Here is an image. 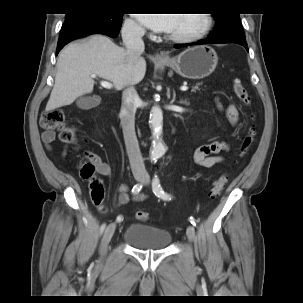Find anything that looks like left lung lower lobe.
<instances>
[{
	"label": "left lung lower lobe",
	"instance_id": "obj_1",
	"mask_svg": "<svg viewBox=\"0 0 303 303\" xmlns=\"http://www.w3.org/2000/svg\"><path fill=\"white\" fill-rule=\"evenodd\" d=\"M209 43H238L244 46L248 51V46L245 38H211V39L206 38L205 40L196 43L176 44L175 48L187 47L196 44H209Z\"/></svg>",
	"mask_w": 303,
	"mask_h": 303
}]
</instances>
